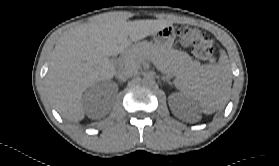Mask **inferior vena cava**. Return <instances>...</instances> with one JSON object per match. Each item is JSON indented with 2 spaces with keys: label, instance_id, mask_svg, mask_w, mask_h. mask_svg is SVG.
I'll list each match as a JSON object with an SVG mask.
<instances>
[{
  "label": "inferior vena cava",
  "instance_id": "1",
  "mask_svg": "<svg viewBox=\"0 0 279 166\" xmlns=\"http://www.w3.org/2000/svg\"><path fill=\"white\" fill-rule=\"evenodd\" d=\"M135 74H136V70L124 67L121 70H119L116 77L121 81H125L128 78L135 76Z\"/></svg>",
  "mask_w": 279,
  "mask_h": 166
}]
</instances>
